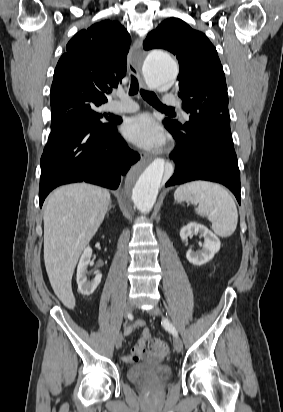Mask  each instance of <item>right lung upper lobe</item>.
<instances>
[{
	"label": "right lung upper lobe",
	"mask_w": 283,
	"mask_h": 412,
	"mask_svg": "<svg viewBox=\"0 0 283 412\" xmlns=\"http://www.w3.org/2000/svg\"><path fill=\"white\" fill-rule=\"evenodd\" d=\"M131 38L117 21L105 20L78 32L58 61L51 86L52 115L79 102L105 103L126 74Z\"/></svg>",
	"instance_id": "right-lung-upper-lobe-1"
}]
</instances>
